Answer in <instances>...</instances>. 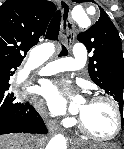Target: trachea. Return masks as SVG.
<instances>
[{"mask_svg": "<svg viewBox=\"0 0 124 149\" xmlns=\"http://www.w3.org/2000/svg\"><path fill=\"white\" fill-rule=\"evenodd\" d=\"M60 22H61V11H57L49 26L46 33V38L50 40H55L58 37L59 29H60ZM62 55H67L66 49L63 50Z\"/></svg>", "mask_w": 124, "mask_h": 149, "instance_id": "1", "label": "trachea"}]
</instances>
